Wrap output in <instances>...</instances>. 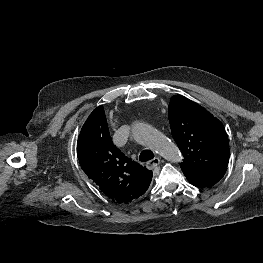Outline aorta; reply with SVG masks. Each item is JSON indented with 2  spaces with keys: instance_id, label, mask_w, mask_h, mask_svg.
I'll return each instance as SVG.
<instances>
[{
  "instance_id": "obj_1",
  "label": "aorta",
  "mask_w": 263,
  "mask_h": 263,
  "mask_svg": "<svg viewBox=\"0 0 263 263\" xmlns=\"http://www.w3.org/2000/svg\"><path fill=\"white\" fill-rule=\"evenodd\" d=\"M133 136L135 140L150 146L171 162H179L183 159L177 147L149 124L136 123L133 127Z\"/></svg>"
}]
</instances>
